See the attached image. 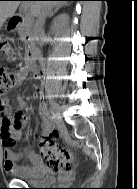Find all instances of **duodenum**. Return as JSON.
<instances>
[{
	"label": "duodenum",
	"instance_id": "duodenum-1",
	"mask_svg": "<svg viewBox=\"0 0 137 189\" xmlns=\"http://www.w3.org/2000/svg\"><path fill=\"white\" fill-rule=\"evenodd\" d=\"M32 21L30 19H26L23 16H13L8 22V30L10 32H16L19 30H24L25 28H29ZM23 40L27 45V59H26V68L37 74L38 69L36 66L37 53L33 46L32 38L29 32H23Z\"/></svg>",
	"mask_w": 137,
	"mask_h": 189
}]
</instances>
